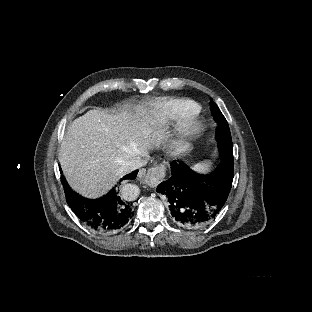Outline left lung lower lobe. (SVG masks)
<instances>
[{
	"label": "left lung lower lobe",
	"instance_id": "obj_1",
	"mask_svg": "<svg viewBox=\"0 0 312 312\" xmlns=\"http://www.w3.org/2000/svg\"><path fill=\"white\" fill-rule=\"evenodd\" d=\"M220 161L208 174H200L187 164H171L172 176L160 183L157 192L168 201L170 219L187 229L209 224L222 209L234 176L233 149L219 148Z\"/></svg>",
	"mask_w": 312,
	"mask_h": 312
}]
</instances>
